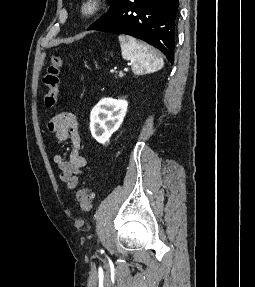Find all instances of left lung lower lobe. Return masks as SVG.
Returning a JSON list of instances; mask_svg holds the SVG:
<instances>
[{"label":"left lung lower lobe","mask_w":255,"mask_h":287,"mask_svg":"<svg viewBox=\"0 0 255 287\" xmlns=\"http://www.w3.org/2000/svg\"><path fill=\"white\" fill-rule=\"evenodd\" d=\"M179 0H116L87 30L142 39L173 63Z\"/></svg>","instance_id":"1"}]
</instances>
